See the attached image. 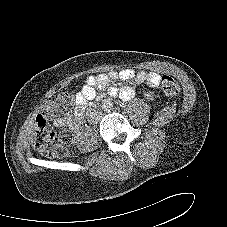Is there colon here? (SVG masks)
<instances>
[{
    "label": "colon",
    "mask_w": 227,
    "mask_h": 227,
    "mask_svg": "<svg viewBox=\"0 0 227 227\" xmlns=\"http://www.w3.org/2000/svg\"><path fill=\"white\" fill-rule=\"evenodd\" d=\"M161 88L168 95L179 93L180 87L177 81L168 75L161 77ZM73 97L69 93H58L55 100L43 105L42 111L35 119V130L32 138L33 148L42 155L48 157H68L76 153V147L67 131H53L47 121L60 115L63 106L71 105Z\"/></svg>",
    "instance_id": "colon-1"
}]
</instances>
